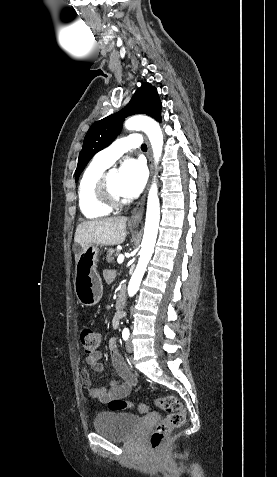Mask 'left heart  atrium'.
<instances>
[{"label": "left heart atrium", "instance_id": "1", "mask_svg": "<svg viewBox=\"0 0 277 477\" xmlns=\"http://www.w3.org/2000/svg\"><path fill=\"white\" fill-rule=\"evenodd\" d=\"M119 178L122 196L135 197L142 191L146 183V167L139 160L128 159L121 165Z\"/></svg>", "mask_w": 277, "mask_h": 477}]
</instances>
